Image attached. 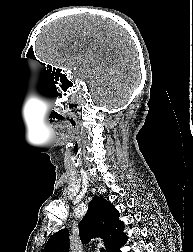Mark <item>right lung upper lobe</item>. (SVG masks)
<instances>
[{"label":"right lung upper lobe","instance_id":"right-lung-upper-lobe-1","mask_svg":"<svg viewBox=\"0 0 193 252\" xmlns=\"http://www.w3.org/2000/svg\"><path fill=\"white\" fill-rule=\"evenodd\" d=\"M119 212L106 199L94 196L88 211L79 225L82 242L101 237L107 252L114 250L127 238L123 233L124 223L119 220ZM66 229L54 233L47 241L43 252H68L69 238Z\"/></svg>","mask_w":193,"mask_h":252}]
</instances>
